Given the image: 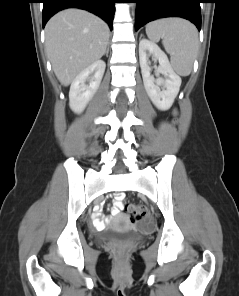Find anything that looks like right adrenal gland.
<instances>
[{
    "mask_svg": "<svg viewBox=\"0 0 239 296\" xmlns=\"http://www.w3.org/2000/svg\"><path fill=\"white\" fill-rule=\"evenodd\" d=\"M108 53H109V44L107 45V49H106V51H105V55H106V57H108Z\"/></svg>",
    "mask_w": 239,
    "mask_h": 296,
    "instance_id": "1",
    "label": "right adrenal gland"
}]
</instances>
